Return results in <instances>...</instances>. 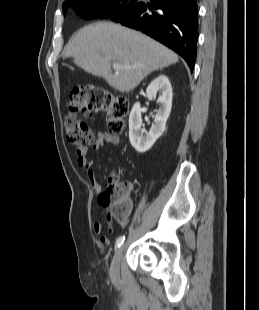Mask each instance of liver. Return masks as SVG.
Masks as SVG:
<instances>
[{"label":"liver","mask_w":259,"mask_h":310,"mask_svg":"<svg viewBox=\"0 0 259 310\" xmlns=\"http://www.w3.org/2000/svg\"><path fill=\"white\" fill-rule=\"evenodd\" d=\"M64 57H72L86 72L102 77L114 89L129 92L150 73L178 61V56L154 39L114 23L80 29L68 42ZM130 66L111 72V62Z\"/></svg>","instance_id":"1"}]
</instances>
